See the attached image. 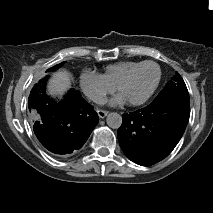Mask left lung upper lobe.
I'll use <instances>...</instances> for the list:
<instances>
[{"label": "left lung upper lobe", "mask_w": 213, "mask_h": 213, "mask_svg": "<svg viewBox=\"0 0 213 213\" xmlns=\"http://www.w3.org/2000/svg\"><path fill=\"white\" fill-rule=\"evenodd\" d=\"M168 92H179L183 94H189L185 82L178 72H176V76L170 80L163 90L158 94L157 97H161Z\"/></svg>", "instance_id": "1"}]
</instances>
